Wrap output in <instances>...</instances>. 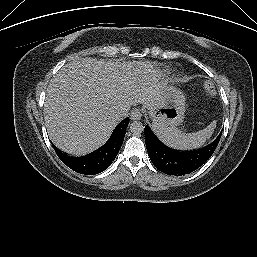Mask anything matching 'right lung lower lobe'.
Here are the masks:
<instances>
[{
  "mask_svg": "<svg viewBox=\"0 0 257 257\" xmlns=\"http://www.w3.org/2000/svg\"><path fill=\"white\" fill-rule=\"evenodd\" d=\"M129 118L122 120L114 129L108 141L97 150L81 157L68 156L55 147L61 161L72 170L86 175H94L104 171L117 156L126 134Z\"/></svg>",
  "mask_w": 257,
  "mask_h": 257,
  "instance_id": "obj_1",
  "label": "right lung lower lobe"
}]
</instances>
